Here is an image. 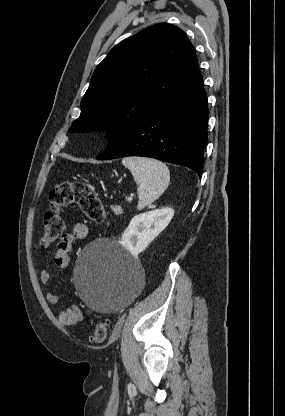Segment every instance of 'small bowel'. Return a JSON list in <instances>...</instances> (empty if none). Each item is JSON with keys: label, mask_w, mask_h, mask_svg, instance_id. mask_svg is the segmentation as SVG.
<instances>
[{"label": "small bowel", "mask_w": 285, "mask_h": 416, "mask_svg": "<svg viewBox=\"0 0 285 416\" xmlns=\"http://www.w3.org/2000/svg\"><path fill=\"white\" fill-rule=\"evenodd\" d=\"M89 228L86 224L77 223L73 226L72 232L64 234L57 245V251L54 256V263L58 268H66L69 264V254L72 250L73 244L78 240L87 238ZM51 280V274L48 270H43L40 273V281L43 284H48ZM47 300L57 305L60 302V297L53 291L47 293ZM83 320L81 309L77 305L63 309L58 314V322L62 326H75Z\"/></svg>", "instance_id": "obj_1"}]
</instances>
